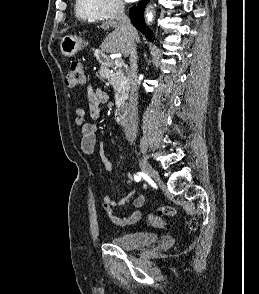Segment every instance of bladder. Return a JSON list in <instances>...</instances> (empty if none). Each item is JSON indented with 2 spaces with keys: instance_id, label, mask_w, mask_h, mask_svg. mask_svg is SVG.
Segmentation results:
<instances>
[{
  "instance_id": "obj_1",
  "label": "bladder",
  "mask_w": 259,
  "mask_h": 294,
  "mask_svg": "<svg viewBox=\"0 0 259 294\" xmlns=\"http://www.w3.org/2000/svg\"><path fill=\"white\" fill-rule=\"evenodd\" d=\"M158 235L153 232H129L111 239V243L121 249L134 250L154 244Z\"/></svg>"
}]
</instances>
